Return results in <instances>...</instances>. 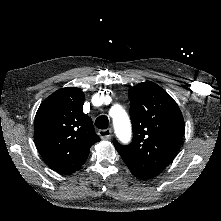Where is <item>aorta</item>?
Returning a JSON list of instances; mask_svg holds the SVG:
<instances>
[{
  "mask_svg": "<svg viewBox=\"0 0 221 221\" xmlns=\"http://www.w3.org/2000/svg\"><path fill=\"white\" fill-rule=\"evenodd\" d=\"M113 111V125L115 132L123 139H128L131 134V124L126 111L119 105L112 108Z\"/></svg>",
  "mask_w": 221,
  "mask_h": 221,
  "instance_id": "obj_1",
  "label": "aorta"
}]
</instances>
